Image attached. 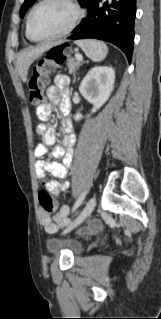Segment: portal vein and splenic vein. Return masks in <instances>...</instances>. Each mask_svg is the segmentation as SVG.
Masks as SVG:
<instances>
[{"mask_svg": "<svg viewBox=\"0 0 161 319\" xmlns=\"http://www.w3.org/2000/svg\"><path fill=\"white\" fill-rule=\"evenodd\" d=\"M75 58H76L77 60H79V61H82V60H83L82 55H80V54H76V55H75Z\"/></svg>", "mask_w": 161, "mask_h": 319, "instance_id": "obj_1", "label": "portal vein and splenic vein"}]
</instances>
